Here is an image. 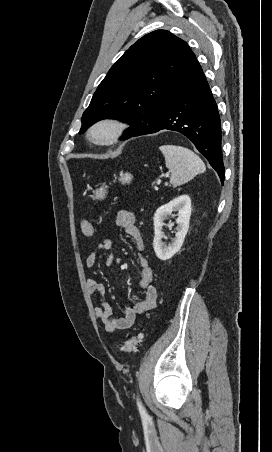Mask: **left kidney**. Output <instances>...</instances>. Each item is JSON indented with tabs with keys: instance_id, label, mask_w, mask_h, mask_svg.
I'll use <instances>...</instances> for the list:
<instances>
[{
	"instance_id": "obj_1",
	"label": "left kidney",
	"mask_w": 272,
	"mask_h": 452,
	"mask_svg": "<svg viewBox=\"0 0 272 452\" xmlns=\"http://www.w3.org/2000/svg\"><path fill=\"white\" fill-rule=\"evenodd\" d=\"M174 211H177L176 219V234L170 245H165L162 242L163 238V225L164 220L168 215H172ZM191 199L188 195H181L167 204L160 206L154 214V240L153 247L156 256L160 260H168L174 256L182 247L185 236L189 228V220L191 216Z\"/></svg>"
}]
</instances>
